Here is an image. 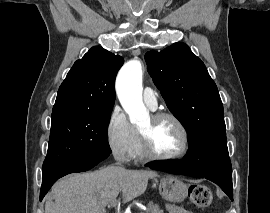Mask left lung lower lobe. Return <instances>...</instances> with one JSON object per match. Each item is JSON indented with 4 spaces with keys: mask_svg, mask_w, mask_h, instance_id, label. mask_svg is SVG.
<instances>
[{
    "mask_svg": "<svg viewBox=\"0 0 270 213\" xmlns=\"http://www.w3.org/2000/svg\"><path fill=\"white\" fill-rule=\"evenodd\" d=\"M154 170H160L171 174L187 175L192 177H205L206 179L216 183L233 201L232 174L213 173L204 176L200 166L196 163L190 146L187 155L183 160H178L171 163L158 164L151 166Z\"/></svg>",
    "mask_w": 270,
    "mask_h": 213,
    "instance_id": "1",
    "label": "left lung lower lobe"
}]
</instances>
